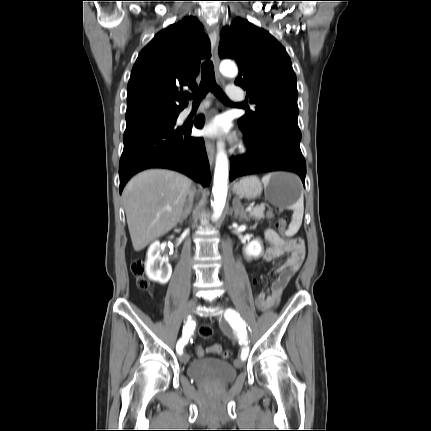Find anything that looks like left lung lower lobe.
<instances>
[{
  "mask_svg": "<svg viewBox=\"0 0 431 431\" xmlns=\"http://www.w3.org/2000/svg\"><path fill=\"white\" fill-rule=\"evenodd\" d=\"M242 131L249 150L231 158L230 180L260 172L290 171L297 173L305 185L306 164L299 146V129L269 123L254 133Z\"/></svg>",
  "mask_w": 431,
  "mask_h": 431,
  "instance_id": "0a47b994",
  "label": "left lung lower lobe"
}]
</instances>
